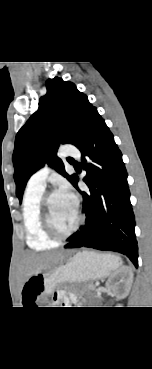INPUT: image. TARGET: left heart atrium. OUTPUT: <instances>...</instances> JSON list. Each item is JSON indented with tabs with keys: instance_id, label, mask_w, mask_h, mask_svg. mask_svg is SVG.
Returning a JSON list of instances; mask_svg holds the SVG:
<instances>
[{
	"instance_id": "39dd6f15",
	"label": "left heart atrium",
	"mask_w": 152,
	"mask_h": 369,
	"mask_svg": "<svg viewBox=\"0 0 152 369\" xmlns=\"http://www.w3.org/2000/svg\"><path fill=\"white\" fill-rule=\"evenodd\" d=\"M57 194L60 195L63 199L71 203L72 205H77V200L72 193L70 187L66 183H62L57 191Z\"/></svg>"
}]
</instances>
